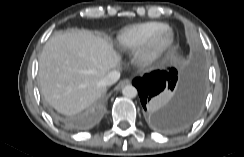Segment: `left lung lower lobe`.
Instances as JSON below:
<instances>
[{"label": "left lung lower lobe", "instance_id": "0a47b994", "mask_svg": "<svg viewBox=\"0 0 244 157\" xmlns=\"http://www.w3.org/2000/svg\"><path fill=\"white\" fill-rule=\"evenodd\" d=\"M147 123L171 132L190 126L198 117L205 95V76L200 65H191L178 75L176 69L156 70L135 78Z\"/></svg>", "mask_w": 244, "mask_h": 157}]
</instances>
